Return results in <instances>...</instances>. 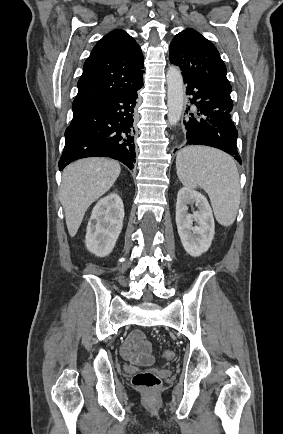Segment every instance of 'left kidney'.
Listing matches in <instances>:
<instances>
[{
  "label": "left kidney",
  "instance_id": "5707ae66",
  "mask_svg": "<svg viewBox=\"0 0 283 434\" xmlns=\"http://www.w3.org/2000/svg\"><path fill=\"white\" fill-rule=\"evenodd\" d=\"M195 203L198 211L188 213V204ZM193 221L197 223L193 226ZM176 225L185 251L198 257L206 252L215 234V223L206 197L189 187L179 190L176 202Z\"/></svg>",
  "mask_w": 283,
  "mask_h": 434
}]
</instances>
